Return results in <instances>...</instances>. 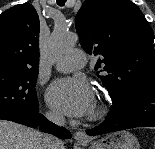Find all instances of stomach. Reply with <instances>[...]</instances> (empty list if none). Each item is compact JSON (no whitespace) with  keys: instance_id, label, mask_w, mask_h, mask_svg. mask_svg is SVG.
<instances>
[{"instance_id":"1","label":"stomach","mask_w":155,"mask_h":149,"mask_svg":"<svg viewBox=\"0 0 155 149\" xmlns=\"http://www.w3.org/2000/svg\"><path fill=\"white\" fill-rule=\"evenodd\" d=\"M90 149H140L137 138L128 131L110 133L95 142H83Z\"/></svg>"}]
</instances>
